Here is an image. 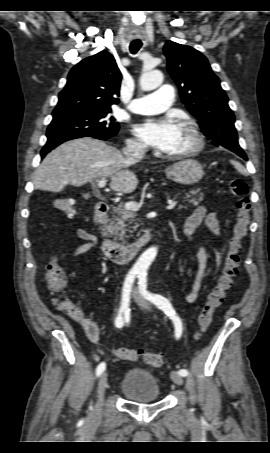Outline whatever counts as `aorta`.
<instances>
[{"label": "aorta", "instance_id": "1", "mask_svg": "<svg viewBox=\"0 0 270 453\" xmlns=\"http://www.w3.org/2000/svg\"><path fill=\"white\" fill-rule=\"evenodd\" d=\"M163 82V74L159 70H144L140 77V86L145 91L159 87ZM157 255V248L147 249L137 260L135 268L146 270Z\"/></svg>", "mask_w": 270, "mask_h": 453}]
</instances>
